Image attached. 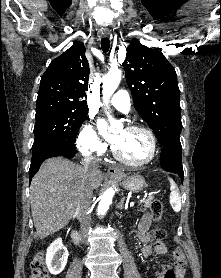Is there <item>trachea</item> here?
Returning a JSON list of instances; mask_svg holds the SVG:
<instances>
[{
  "label": "trachea",
  "instance_id": "trachea-1",
  "mask_svg": "<svg viewBox=\"0 0 221 278\" xmlns=\"http://www.w3.org/2000/svg\"><path fill=\"white\" fill-rule=\"evenodd\" d=\"M110 48V40L109 38H103L101 40V49L103 50V52H107Z\"/></svg>",
  "mask_w": 221,
  "mask_h": 278
}]
</instances>
